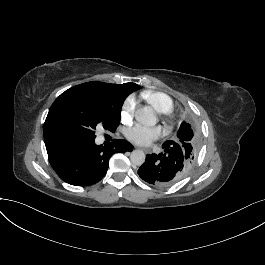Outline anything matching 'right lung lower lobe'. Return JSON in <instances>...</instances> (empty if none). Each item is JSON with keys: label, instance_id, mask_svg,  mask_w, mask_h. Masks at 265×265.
I'll return each instance as SVG.
<instances>
[{"label": "right lung lower lobe", "instance_id": "obj_1", "mask_svg": "<svg viewBox=\"0 0 265 265\" xmlns=\"http://www.w3.org/2000/svg\"><path fill=\"white\" fill-rule=\"evenodd\" d=\"M132 150L133 145L126 140L115 139L108 148L91 140L62 146L48 158L63 181L75 186H90L105 176L113 154Z\"/></svg>", "mask_w": 265, "mask_h": 265}]
</instances>
